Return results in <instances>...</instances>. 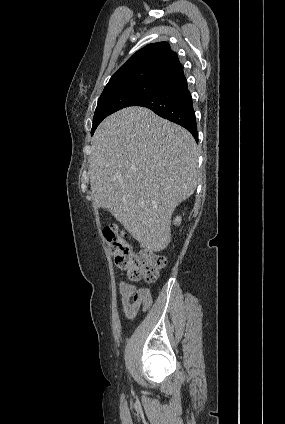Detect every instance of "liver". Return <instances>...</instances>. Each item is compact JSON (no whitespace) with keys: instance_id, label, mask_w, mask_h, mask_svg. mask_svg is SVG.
<instances>
[{"instance_id":"obj_1","label":"liver","mask_w":285,"mask_h":424,"mask_svg":"<svg viewBox=\"0 0 285 424\" xmlns=\"http://www.w3.org/2000/svg\"><path fill=\"white\" fill-rule=\"evenodd\" d=\"M90 188L143 246L164 250L174 209L197 187L198 151L183 127L144 107L108 116L91 140Z\"/></svg>"}]
</instances>
